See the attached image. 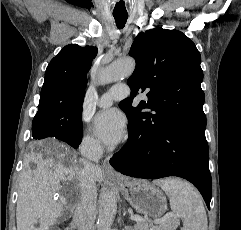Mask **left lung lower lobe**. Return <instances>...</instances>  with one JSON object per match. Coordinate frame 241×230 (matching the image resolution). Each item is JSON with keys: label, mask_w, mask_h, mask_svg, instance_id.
I'll list each match as a JSON object with an SVG mask.
<instances>
[{"label": "left lung lower lobe", "mask_w": 241, "mask_h": 230, "mask_svg": "<svg viewBox=\"0 0 241 230\" xmlns=\"http://www.w3.org/2000/svg\"><path fill=\"white\" fill-rule=\"evenodd\" d=\"M128 129L127 144L110 159L117 171L145 179H187L200 191L210 209L212 180L205 130L169 126L159 135L149 136L135 121L129 122Z\"/></svg>", "instance_id": "obj_1"}]
</instances>
